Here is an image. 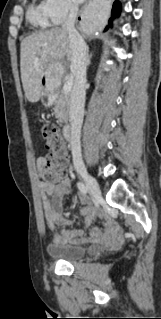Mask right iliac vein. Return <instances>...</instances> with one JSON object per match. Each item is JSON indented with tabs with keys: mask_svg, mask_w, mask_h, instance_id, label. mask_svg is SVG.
I'll return each mask as SVG.
<instances>
[{
	"mask_svg": "<svg viewBox=\"0 0 161 319\" xmlns=\"http://www.w3.org/2000/svg\"><path fill=\"white\" fill-rule=\"evenodd\" d=\"M79 174L85 180L91 196L93 198L97 197L100 194V188L95 178L92 177L86 170H81Z\"/></svg>",
	"mask_w": 161,
	"mask_h": 319,
	"instance_id": "obj_1",
	"label": "right iliac vein"
}]
</instances>
